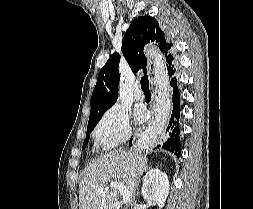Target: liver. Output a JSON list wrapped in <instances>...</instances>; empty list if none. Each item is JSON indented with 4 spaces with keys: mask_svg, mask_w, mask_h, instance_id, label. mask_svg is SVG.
<instances>
[{
    "mask_svg": "<svg viewBox=\"0 0 253 209\" xmlns=\"http://www.w3.org/2000/svg\"><path fill=\"white\" fill-rule=\"evenodd\" d=\"M146 156L138 152L111 151L86 169L79 183V209H117L119 191L106 187L109 182L123 184L131 194H135L134 183L147 167ZM106 188L102 193L98 190Z\"/></svg>",
    "mask_w": 253,
    "mask_h": 209,
    "instance_id": "1",
    "label": "liver"
}]
</instances>
